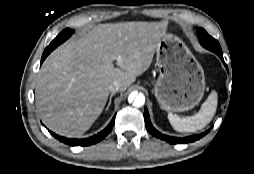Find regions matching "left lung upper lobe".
Masks as SVG:
<instances>
[{"mask_svg": "<svg viewBox=\"0 0 254 174\" xmlns=\"http://www.w3.org/2000/svg\"><path fill=\"white\" fill-rule=\"evenodd\" d=\"M197 33H198L200 44L203 47L215 52L216 54L222 52L221 47L219 43L217 42V40H215L210 35H208V33L204 29L198 28Z\"/></svg>", "mask_w": 254, "mask_h": 174, "instance_id": "left-lung-upper-lobe-1", "label": "left lung upper lobe"}]
</instances>
